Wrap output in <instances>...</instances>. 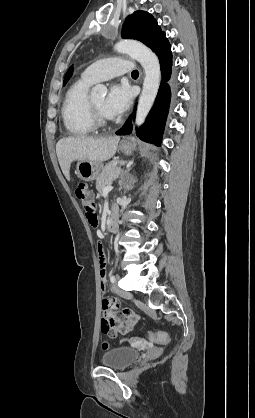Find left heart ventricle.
Listing matches in <instances>:
<instances>
[{"label":"left heart ventricle","instance_id":"left-heart-ventricle-1","mask_svg":"<svg viewBox=\"0 0 255 418\" xmlns=\"http://www.w3.org/2000/svg\"><path fill=\"white\" fill-rule=\"evenodd\" d=\"M93 104L97 107V109L101 112L103 116H105L102 106L104 102V96H96L91 98ZM106 117V116H105Z\"/></svg>","mask_w":255,"mask_h":418}]
</instances>
